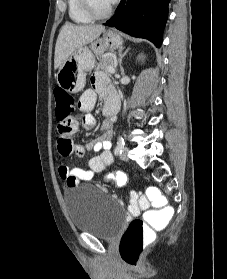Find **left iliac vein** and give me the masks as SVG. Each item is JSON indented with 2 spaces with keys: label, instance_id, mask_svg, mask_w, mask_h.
<instances>
[{
  "label": "left iliac vein",
  "instance_id": "1",
  "mask_svg": "<svg viewBox=\"0 0 227 279\" xmlns=\"http://www.w3.org/2000/svg\"><path fill=\"white\" fill-rule=\"evenodd\" d=\"M120 158L123 161H128L129 160V148L124 147L122 153L120 154Z\"/></svg>",
  "mask_w": 227,
  "mask_h": 279
}]
</instances>
